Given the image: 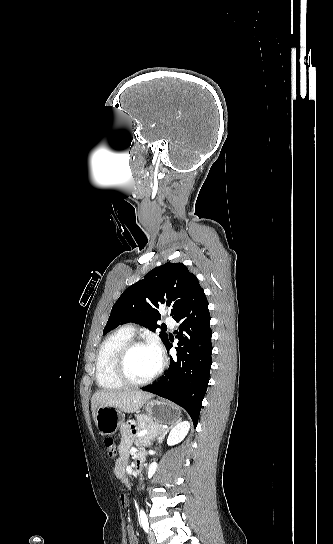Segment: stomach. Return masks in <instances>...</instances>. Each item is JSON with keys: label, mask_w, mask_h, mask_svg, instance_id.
Listing matches in <instances>:
<instances>
[{"label": "stomach", "mask_w": 333, "mask_h": 544, "mask_svg": "<svg viewBox=\"0 0 333 544\" xmlns=\"http://www.w3.org/2000/svg\"><path fill=\"white\" fill-rule=\"evenodd\" d=\"M145 410L153 420L161 424H171L180 420L179 408L169 402L149 400L145 404ZM95 422L99 432L109 436L115 434L123 424V416L109 406H99Z\"/></svg>", "instance_id": "1"}]
</instances>
